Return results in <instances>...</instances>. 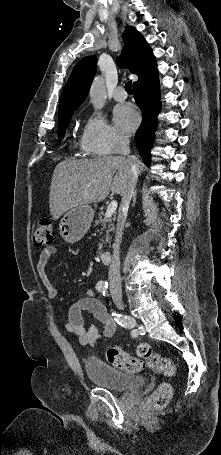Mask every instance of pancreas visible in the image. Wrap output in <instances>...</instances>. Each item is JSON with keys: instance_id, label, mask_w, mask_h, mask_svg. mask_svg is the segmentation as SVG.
<instances>
[{"instance_id": "cf45deb5", "label": "pancreas", "mask_w": 221, "mask_h": 455, "mask_svg": "<svg viewBox=\"0 0 221 455\" xmlns=\"http://www.w3.org/2000/svg\"><path fill=\"white\" fill-rule=\"evenodd\" d=\"M101 225L103 228L101 230H105V240H101L102 243L99 244L98 247V254L102 253L103 243H108L111 238V233L114 231V218H105L103 212L98 213V219L95 221V226Z\"/></svg>"}]
</instances>
